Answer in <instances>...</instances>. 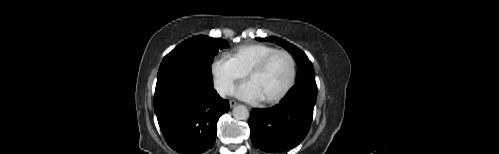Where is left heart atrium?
Returning a JSON list of instances; mask_svg holds the SVG:
<instances>
[{"instance_id":"1","label":"left heart atrium","mask_w":499,"mask_h":154,"mask_svg":"<svg viewBox=\"0 0 499 154\" xmlns=\"http://www.w3.org/2000/svg\"><path fill=\"white\" fill-rule=\"evenodd\" d=\"M233 94L245 101L257 102L263 100L256 86L251 82H245L233 90Z\"/></svg>"}]
</instances>
